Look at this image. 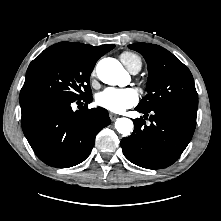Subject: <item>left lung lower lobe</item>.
Here are the masks:
<instances>
[{"instance_id": "left-lung-lower-lobe-1", "label": "left lung lower lobe", "mask_w": 221, "mask_h": 221, "mask_svg": "<svg viewBox=\"0 0 221 221\" xmlns=\"http://www.w3.org/2000/svg\"><path fill=\"white\" fill-rule=\"evenodd\" d=\"M145 117L151 112L147 126L143 118L135 119L133 133L121 140L125 157L147 169H160L173 164L189 144L196 126L197 109L165 105L145 111L135 108Z\"/></svg>"}]
</instances>
